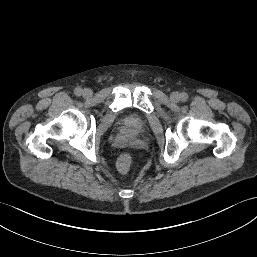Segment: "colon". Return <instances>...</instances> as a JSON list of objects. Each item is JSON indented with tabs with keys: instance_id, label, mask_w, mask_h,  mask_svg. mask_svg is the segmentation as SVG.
<instances>
[{
	"instance_id": "1",
	"label": "colon",
	"mask_w": 257,
	"mask_h": 257,
	"mask_svg": "<svg viewBox=\"0 0 257 257\" xmlns=\"http://www.w3.org/2000/svg\"><path fill=\"white\" fill-rule=\"evenodd\" d=\"M134 166V161L129 153H123L117 160V168L122 173H128Z\"/></svg>"
}]
</instances>
